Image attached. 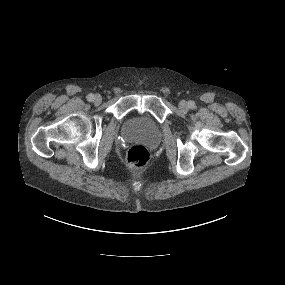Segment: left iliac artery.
Returning a JSON list of instances; mask_svg holds the SVG:
<instances>
[{"label":"left iliac artery","mask_w":285,"mask_h":285,"mask_svg":"<svg viewBox=\"0 0 285 285\" xmlns=\"http://www.w3.org/2000/svg\"><path fill=\"white\" fill-rule=\"evenodd\" d=\"M188 106H189V108L194 109L195 108V102L189 101Z\"/></svg>","instance_id":"1"}]
</instances>
